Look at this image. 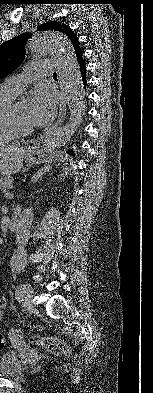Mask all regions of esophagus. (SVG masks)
I'll return each mask as SVG.
<instances>
[{
	"label": "esophagus",
	"instance_id": "1",
	"mask_svg": "<svg viewBox=\"0 0 153 393\" xmlns=\"http://www.w3.org/2000/svg\"><path fill=\"white\" fill-rule=\"evenodd\" d=\"M66 110H67V108H66V102H65V100H63V101L61 102V104H60V109H59L58 118H57L56 122L53 124L52 127H56V126H58L59 124H61V123L63 122V120H64V118H65V115H66Z\"/></svg>",
	"mask_w": 153,
	"mask_h": 393
}]
</instances>
